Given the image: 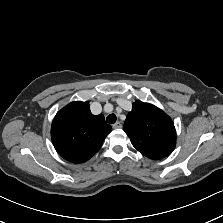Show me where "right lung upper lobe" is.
<instances>
[{
	"label": "right lung upper lobe",
	"instance_id": "1",
	"mask_svg": "<svg viewBox=\"0 0 223 223\" xmlns=\"http://www.w3.org/2000/svg\"><path fill=\"white\" fill-rule=\"evenodd\" d=\"M111 130L102 114L91 113L88 102L77 101L56 114L51 126V138L62 158L82 163L98 152Z\"/></svg>",
	"mask_w": 223,
	"mask_h": 223
}]
</instances>
